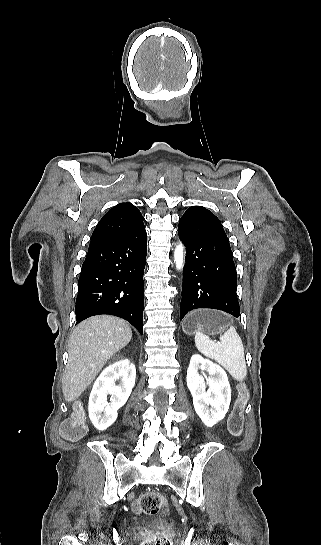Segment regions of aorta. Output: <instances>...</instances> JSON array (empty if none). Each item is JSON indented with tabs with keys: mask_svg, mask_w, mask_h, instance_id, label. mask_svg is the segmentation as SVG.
I'll use <instances>...</instances> for the list:
<instances>
[{
	"mask_svg": "<svg viewBox=\"0 0 321 545\" xmlns=\"http://www.w3.org/2000/svg\"><path fill=\"white\" fill-rule=\"evenodd\" d=\"M174 261L176 263V268L182 270L184 264V247L182 244L177 245L175 248Z\"/></svg>",
	"mask_w": 321,
	"mask_h": 545,
	"instance_id": "obj_1",
	"label": "aorta"
}]
</instances>
